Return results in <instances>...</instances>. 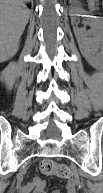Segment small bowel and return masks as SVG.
I'll return each mask as SVG.
<instances>
[{"label":"small bowel","mask_w":103,"mask_h":193,"mask_svg":"<svg viewBox=\"0 0 103 193\" xmlns=\"http://www.w3.org/2000/svg\"><path fill=\"white\" fill-rule=\"evenodd\" d=\"M79 181L69 179L65 184L64 193H77ZM18 193H47L46 183L41 178H35L31 183L21 185ZM51 193H62L60 190H54Z\"/></svg>","instance_id":"c3829d8e"}]
</instances>
